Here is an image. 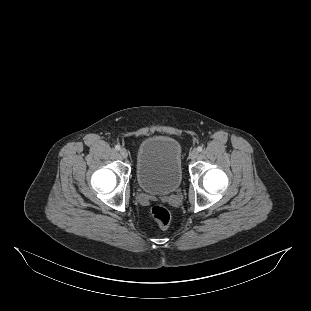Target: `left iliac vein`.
I'll list each match as a JSON object with an SVG mask.
<instances>
[{"label": "left iliac vein", "instance_id": "1", "mask_svg": "<svg viewBox=\"0 0 311 311\" xmlns=\"http://www.w3.org/2000/svg\"><path fill=\"white\" fill-rule=\"evenodd\" d=\"M198 156V150L197 149H193L191 152H190V157L191 159H196Z\"/></svg>", "mask_w": 311, "mask_h": 311}]
</instances>
